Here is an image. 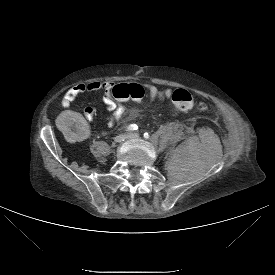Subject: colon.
Segmentation results:
<instances>
[{
  "label": "colon",
  "instance_id": "obj_1",
  "mask_svg": "<svg viewBox=\"0 0 275 275\" xmlns=\"http://www.w3.org/2000/svg\"><path fill=\"white\" fill-rule=\"evenodd\" d=\"M113 96L120 100L140 101L145 96V89L139 84L117 85L113 89ZM174 105L180 111L196 109L207 111L209 105L202 99H195L191 92L185 89H178L172 95Z\"/></svg>",
  "mask_w": 275,
  "mask_h": 275
}]
</instances>
